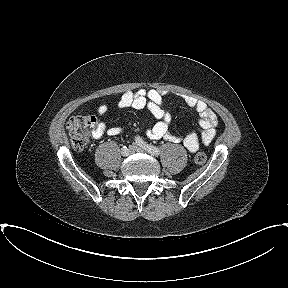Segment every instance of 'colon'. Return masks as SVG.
<instances>
[{
  "label": "colon",
  "instance_id": "obj_1",
  "mask_svg": "<svg viewBox=\"0 0 288 288\" xmlns=\"http://www.w3.org/2000/svg\"><path fill=\"white\" fill-rule=\"evenodd\" d=\"M97 118L94 115L73 116L67 122L71 142L76 149H81L96 128ZM207 160L205 153L197 152L194 161L203 165Z\"/></svg>",
  "mask_w": 288,
  "mask_h": 288
}]
</instances>
